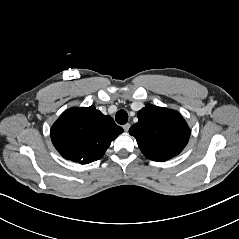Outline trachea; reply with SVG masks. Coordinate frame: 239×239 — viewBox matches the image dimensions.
<instances>
[{
    "label": "trachea",
    "mask_w": 239,
    "mask_h": 239,
    "mask_svg": "<svg viewBox=\"0 0 239 239\" xmlns=\"http://www.w3.org/2000/svg\"><path fill=\"white\" fill-rule=\"evenodd\" d=\"M115 120L118 124H125L128 121V113L121 109L116 113Z\"/></svg>",
    "instance_id": "3493384b"
}]
</instances>
